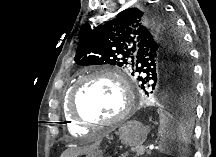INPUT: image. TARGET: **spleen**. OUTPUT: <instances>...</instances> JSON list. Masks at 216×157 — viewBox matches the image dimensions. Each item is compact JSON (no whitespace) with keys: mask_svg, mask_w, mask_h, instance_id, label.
<instances>
[{"mask_svg":"<svg viewBox=\"0 0 216 157\" xmlns=\"http://www.w3.org/2000/svg\"><path fill=\"white\" fill-rule=\"evenodd\" d=\"M159 114V151L165 155L186 157L189 144V131L187 124L176 119L162 108L157 110Z\"/></svg>","mask_w":216,"mask_h":157,"instance_id":"spleen-1","label":"spleen"}]
</instances>
